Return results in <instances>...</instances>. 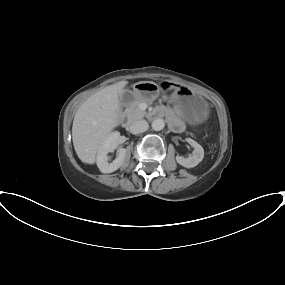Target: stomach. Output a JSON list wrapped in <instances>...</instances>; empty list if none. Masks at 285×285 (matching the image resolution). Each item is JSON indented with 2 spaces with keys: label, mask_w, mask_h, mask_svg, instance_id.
Instances as JSON below:
<instances>
[{
  "label": "stomach",
  "mask_w": 285,
  "mask_h": 285,
  "mask_svg": "<svg viewBox=\"0 0 285 285\" xmlns=\"http://www.w3.org/2000/svg\"><path fill=\"white\" fill-rule=\"evenodd\" d=\"M167 87V83L161 87L152 81L138 82L133 86L132 97L150 102ZM171 102L180 116L189 123H201L209 116V106L206 100L185 87L176 88L171 96Z\"/></svg>",
  "instance_id": "stomach-1"
}]
</instances>
